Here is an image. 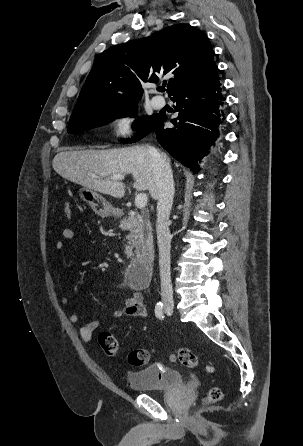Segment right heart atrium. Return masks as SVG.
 <instances>
[{
	"label": "right heart atrium",
	"mask_w": 303,
	"mask_h": 446,
	"mask_svg": "<svg viewBox=\"0 0 303 446\" xmlns=\"http://www.w3.org/2000/svg\"><path fill=\"white\" fill-rule=\"evenodd\" d=\"M138 125L139 117L137 113L130 110H123L114 115L111 134L115 139H128L136 134Z\"/></svg>",
	"instance_id": "1"
}]
</instances>
